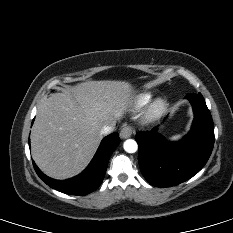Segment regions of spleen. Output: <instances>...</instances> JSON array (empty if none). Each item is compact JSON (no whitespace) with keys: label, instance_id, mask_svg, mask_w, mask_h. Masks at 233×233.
<instances>
[{"label":"spleen","instance_id":"obj_1","mask_svg":"<svg viewBox=\"0 0 233 233\" xmlns=\"http://www.w3.org/2000/svg\"><path fill=\"white\" fill-rule=\"evenodd\" d=\"M182 137H183V135L178 134V135L172 136V137L170 138V141H171V142H178L179 140H181Z\"/></svg>","mask_w":233,"mask_h":233}]
</instances>
